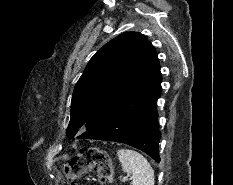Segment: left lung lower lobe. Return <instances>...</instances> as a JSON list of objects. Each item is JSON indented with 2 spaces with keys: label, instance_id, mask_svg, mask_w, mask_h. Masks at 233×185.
Listing matches in <instances>:
<instances>
[{
  "label": "left lung lower lobe",
  "instance_id": "left-lung-lower-lobe-1",
  "mask_svg": "<svg viewBox=\"0 0 233 185\" xmlns=\"http://www.w3.org/2000/svg\"><path fill=\"white\" fill-rule=\"evenodd\" d=\"M162 74L156 65L131 86L114 104L106 117L77 138L116 141L142 150L160 162L157 99Z\"/></svg>",
  "mask_w": 233,
  "mask_h": 185
}]
</instances>
